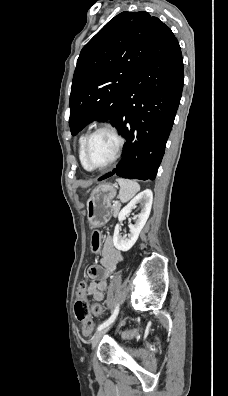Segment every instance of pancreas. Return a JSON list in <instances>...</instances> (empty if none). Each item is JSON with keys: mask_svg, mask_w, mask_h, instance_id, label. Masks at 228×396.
<instances>
[{"mask_svg": "<svg viewBox=\"0 0 228 396\" xmlns=\"http://www.w3.org/2000/svg\"><path fill=\"white\" fill-rule=\"evenodd\" d=\"M120 207H121V205H120L119 203L113 204V206H112V211H113V215H114V216L117 215V213H118Z\"/></svg>", "mask_w": 228, "mask_h": 396, "instance_id": "obj_1", "label": "pancreas"}]
</instances>
